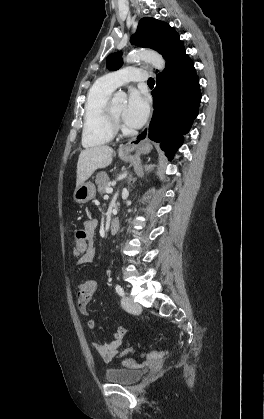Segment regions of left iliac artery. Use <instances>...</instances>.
Masks as SVG:
<instances>
[{"instance_id":"obj_1","label":"left iliac artery","mask_w":264,"mask_h":419,"mask_svg":"<svg viewBox=\"0 0 264 419\" xmlns=\"http://www.w3.org/2000/svg\"><path fill=\"white\" fill-rule=\"evenodd\" d=\"M115 290H116V292L120 295V296H124L125 295V292H124V289L120 286V285H116L115 286Z\"/></svg>"}]
</instances>
